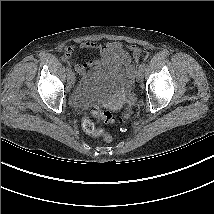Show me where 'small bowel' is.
Masks as SVG:
<instances>
[{
  "label": "small bowel",
  "mask_w": 214,
  "mask_h": 214,
  "mask_svg": "<svg viewBox=\"0 0 214 214\" xmlns=\"http://www.w3.org/2000/svg\"><path fill=\"white\" fill-rule=\"evenodd\" d=\"M79 47L81 49L86 50H95L99 53V59L96 61L89 60L84 63H77L75 65V69L78 73L83 74L88 68L93 66L95 67H103L105 66L110 60H114L116 55L119 54L122 57V61L126 66L127 70L130 72L133 67V63H137L141 56V50L135 45H129L128 49L132 53L130 56L125 48V46L116 41H110L105 44H101L94 41H86L82 42ZM73 47L70 48V51H73ZM71 55V52H70ZM66 58V57H65ZM67 59V58H66Z\"/></svg>",
  "instance_id": "obj_1"
}]
</instances>
